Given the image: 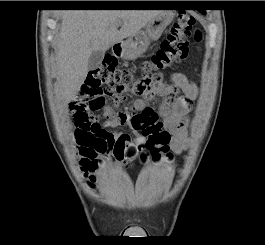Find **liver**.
<instances>
[{"mask_svg": "<svg viewBox=\"0 0 265 245\" xmlns=\"http://www.w3.org/2000/svg\"><path fill=\"white\" fill-rule=\"evenodd\" d=\"M160 10H67L56 42L59 93L71 101L88 72L93 51L106 52L111 46L139 32ZM122 22L120 30L118 23Z\"/></svg>", "mask_w": 265, "mask_h": 245, "instance_id": "6515ba94", "label": "liver"}]
</instances>
